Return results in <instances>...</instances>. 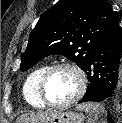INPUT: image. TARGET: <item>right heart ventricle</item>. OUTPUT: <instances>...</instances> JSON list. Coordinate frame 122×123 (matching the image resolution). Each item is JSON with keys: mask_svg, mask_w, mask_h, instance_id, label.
Masks as SVG:
<instances>
[{"mask_svg": "<svg viewBox=\"0 0 122 123\" xmlns=\"http://www.w3.org/2000/svg\"><path fill=\"white\" fill-rule=\"evenodd\" d=\"M48 67H49L48 64H42L40 66H37L28 74L24 82L23 85L24 98L26 102L34 108L41 109L45 107V105L40 100L38 95V85L43 73L46 71Z\"/></svg>", "mask_w": 122, "mask_h": 123, "instance_id": "right-heart-ventricle-1", "label": "right heart ventricle"}]
</instances>
